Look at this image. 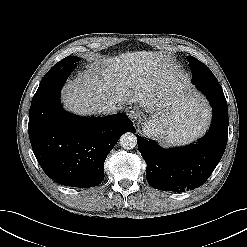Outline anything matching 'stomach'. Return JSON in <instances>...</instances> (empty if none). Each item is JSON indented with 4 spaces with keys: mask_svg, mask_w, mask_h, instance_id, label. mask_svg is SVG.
Here are the masks:
<instances>
[{
    "mask_svg": "<svg viewBox=\"0 0 247 247\" xmlns=\"http://www.w3.org/2000/svg\"><path fill=\"white\" fill-rule=\"evenodd\" d=\"M174 93L177 99L155 111L144 126L147 135L155 136L167 143H181L191 139L205 127L198 130L191 121L197 120L207 124L208 119L204 101L191 92L187 93L185 86ZM188 102L198 106V112L194 117L183 110Z\"/></svg>",
    "mask_w": 247,
    "mask_h": 247,
    "instance_id": "0dacf381",
    "label": "stomach"
}]
</instances>
